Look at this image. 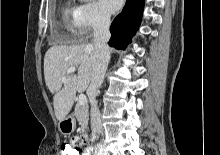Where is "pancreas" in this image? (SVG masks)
Masks as SVG:
<instances>
[{
  "label": "pancreas",
  "mask_w": 220,
  "mask_h": 155,
  "mask_svg": "<svg viewBox=\"0 0 220 155\" xmlns=\"http://www.w3.org/2000/svg\"><path fill=\"white\" fill-rule=\"evenodd\" d=\"M75 116L77 118V121L79 122V125L81 126L82 132L87 128L88 125V106L80 105L79 103L76 104L75 110H74Z\"/></svg>",
  "instance_id": "obj_1"
}]
</instances>
